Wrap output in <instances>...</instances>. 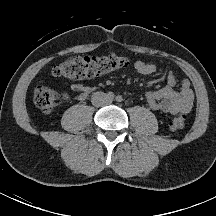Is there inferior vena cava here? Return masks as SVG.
<instances>
[{
  "mask_svg": "<svg viewBox=\"0 0 216 216\" xmlns=\"http://www.w3.org/2000/svg\"><path fill=\"white\" fill-rule=\"evenodd\" d=\"M91 102L94 106L101 107L109 104L111 101L106 93L98 91L92 94Z\"/></svg>",
  "mask_w": 216,
  "mask_h": 216,
  "instance_id": "602c4592",
  "label": "inferior vena cava"
}]
</instances>
